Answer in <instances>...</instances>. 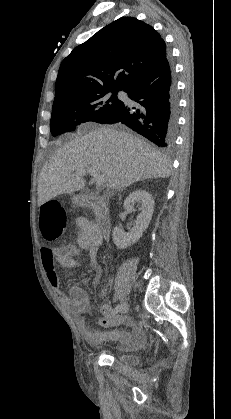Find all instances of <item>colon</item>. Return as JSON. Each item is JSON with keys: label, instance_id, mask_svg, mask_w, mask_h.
<instances>
[{"label": "colon", "instance_id": "colon-1", "mask_svg": "<svg viewBox=\"0 0 231 419\" xmlns=\"http://www.w3.org/2000/svg\"><path fill=\"white\" fill-rule=\"evenodd\" d=\"M42 227L50 240H53L64 229L66 216L59 204L46 203L42 208Z\"/></svg>", "mask_w": 231, "mask_h": 419}]
</instances>
